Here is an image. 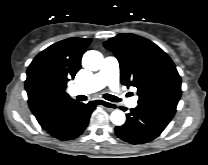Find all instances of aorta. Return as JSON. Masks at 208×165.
Instances as JSON below:
<instances>
[{"label":"aorta","mask_w":208,"mask_h":165,"mask_svg":"<svg viewBox=\"0 0 208 165\" xmlns=\"http://www.w3.org/2000/svg\"><path fill=\"white\" fill-rule=\"evenodd\" d=\"M103 56L100 52L95 50H90L85 52L82 58V65L84 68L90 71H97L102 67ZM110 119L115 125H123L125 123L126 117L123 111L114 110L111 113Z\"/></svg>","instance_id":"1"}]
</instances>
